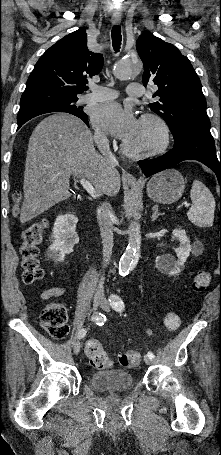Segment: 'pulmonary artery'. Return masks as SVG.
<instances>
[{
  "label": "pulmonary artery",
  "instance_id": "1",
  "mask_svg": "<svg viewBox=\"0 0 221 455\" xmlns=\"http://www.w3.org/2000/svg\"><path fill=\"white\" fill-rule=\"evenodd\" d=\"M126 92L129 95L141 96L143 94V89L139 83H131L127 86ZM117 96L118 93L112 88L94 85L91 87V92L84 95L81 100L84 103H96L110 101Z\"/></svg>",
  "mask_w": 221,
  "mask_h": 455
}]
</instances>
